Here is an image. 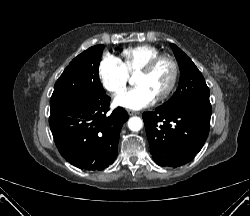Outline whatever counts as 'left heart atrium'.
Returning a JSON list of instances; mask_svg holds the SVG:
<instances>
[{"mask_svg": "<svg viewBox=\"0 0 250 216\" xmlns=\"http://www.w3.org/2000/svg\"><path fill=\"white\" fill-rule=\"evenodd\" d=\"M155 95L145 85H138L128 91L122 92L115 98L118 106L139 110L149 106L154 101Z\"/></svg>", "mask_w": 250, "mask_h": 216, "instance_id": "obj_1", "label": "left heart atrium"}]
</instances>
